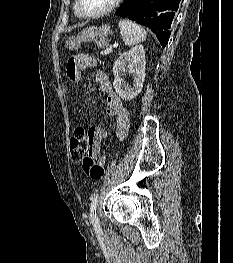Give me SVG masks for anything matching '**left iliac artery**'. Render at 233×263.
<instances>
[{
    "label": "left iliac artery",
    "mask_w": 233,
    "mask_h": 263,
    "mask_svg": "<svg viewBox=\"0 0 233 263\" xmlns=\"http://www.w3.org/2000/svg\"><path fill=\"white\" fill-rule=\"evenodd\" d=\"M97 202H98V194H96L94 196V198L92 199L91 205H90V218H91V222H92L95 229L100 228L99 220H98V217L96 215Z\"/></svg>",
    "instance_id": "obj_1"
}]
</instances>
